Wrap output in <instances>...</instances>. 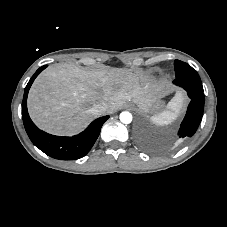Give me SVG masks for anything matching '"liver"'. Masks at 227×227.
Returning <instances> with one entry per match:
<instances>
[{"mask_svg":"<svg viewBox=\"0 0 227 227\" xmlns=\"http://www.w3.org/2000/svg\"><path fill=\"white\" fill-rule=\"evenodd\" d=\"M163 94L142 74L126 68L85 70L75 64H58L42 72L28 95V111L42 130L73 135L95 117L94 104L105 102L107 113L117 111L126 101L147 108Z\"/></svg>","mask_w":227,"mask_h":227,"instance_id":"1","label":"liver"}]
</instances>
